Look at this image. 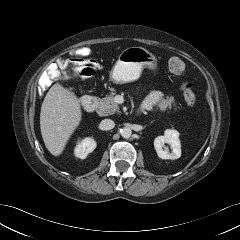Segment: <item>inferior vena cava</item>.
<instances>
[{
	"label": "inferior vena cava",
	"instance_id": "602c4592",
	"mask_svg": "<svg viewBox=\"0 0 240 240\" xmlns=\"http://www.w3.org/2000/svg\"><path fill=\"white\" fill-rule=\"evenodd\" d=\"M100 127L102 130H111L115 127V123L111 119H104L101 121Z\"/></svg>",
	"mask_w": 240,
	"mask_h": 240
}]
</instances>
